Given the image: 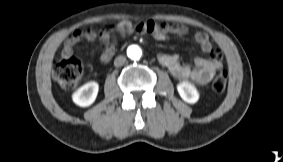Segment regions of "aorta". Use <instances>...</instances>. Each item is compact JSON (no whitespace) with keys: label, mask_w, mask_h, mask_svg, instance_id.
Instances as JSON below:
<instances>
[{"label":"aorta","mask_w":283,"mask_h":162,"mask_svg":"<svg viewBox=\"0 0 283 162\" xmlns=\"http://www.w3.org/2000/svg\"><path fill=\"white\" fill-rule=\"evenodd\" d=\"M127 55L132 60H139L141 58L142 51L138 46L132 45L128 48Z\"/></svg>","instance_id":"1"}]
</instances>
